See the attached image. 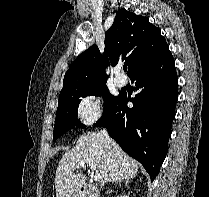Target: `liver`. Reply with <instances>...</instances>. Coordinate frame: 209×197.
Returning <instances> with one entry per match:
<instances>
[{
  "label": "liver",
  "mask_w": 209,
  "mask_h": 197,
  "mask_svg": "<svg viewBox=\"0 0 209 197\" xmlns=\"http://www.w3.org/2000/svg\"><path fill=\"white\" fill-rule=\"evenodd\" d=\"M92 160L101 174V185L106 182H121L133 179L138 172V163L127 155L111 139L108 143L99 133L81 135L76 146L65 152L59 161L56 176V197H71L86 180L84 172L74 174L76 165L82 160Z\"/></svg>",
  "instance_id": "obj_1"
}]
</instances>
